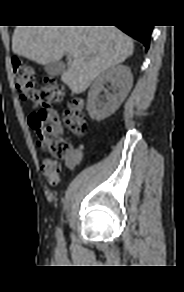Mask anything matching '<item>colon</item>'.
I'll return each instance as SVG.
<instances>
[{
	"instance_id": "colon-1",
	"label": "colon",
	"mask_w": 184,
	"mask_h": 292,
	"mask_svg": "<svg viewBox=\"0 0 184 292\" xmlns=\"http://www.w3.org/2000/svg\"><path fill=\"white\" fill-rule=\"evenodd\" d=\"M14 83L24 101L32 104L37 111L29 117L38 144L48 156L42 162V171L51 185L59 182L60 162L72 154L71 145L60 137L61 125L72 133L83 136L88 129L84 102L78 95H72L65 111L59 115L52 105L62 100L65 89L53 78H46L40 87H35L34 70L18 58L12 60Z\"/></svg>"
}]
</instances>
